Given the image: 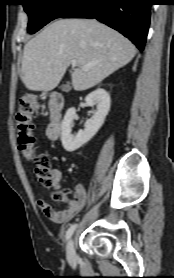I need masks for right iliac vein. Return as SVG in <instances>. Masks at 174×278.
Returning a JSON list of instances; mask_svg holds the SVG:
<instances>
[{
    "label": "right iliac vein",
    "mask_w": 174,
    "mask_h": 278,
    "mask_svg": "<svg viewBox=\"0 0 174 278\" xmlns=\"http://www.w3.org/2000/svg\"><path fill=\"white\" fill-rule=\"evenodd\" d=\"M67 260L72 266H75L77 263V255L73 238H71L67 243Z\"/></svg>",
    "instance_id": "obj_1"
}]
</instances>
